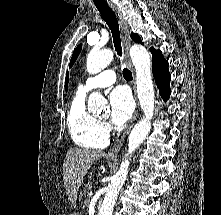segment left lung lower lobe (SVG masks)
Instances as JSON below:
<instances>
[{"label":"left lung lower lobe","mask_w":221,"mask_h":215,"mask_svg":"<svg viewBox=\"0 0 221 215\" xmlns=\"http://www.w3.org/2000/svg\"><path fill=\"white\" fill-rule=\"evenodd\" d=\"M152 71L156 84L159 88L160 95L166 101L170 95V74L168 71V62L163 58L160 50L152 51Z\"/></svg>","instance_id":"1"}]
</instances>
